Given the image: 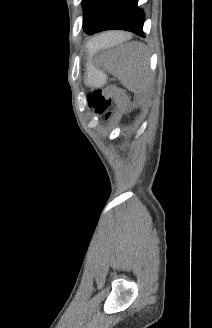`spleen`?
Instances as JSON below:
<instances>
[{"mask_svg":"<svg viewBox=\"0 0 212 328\" xmlns=\"http://www.w3.org/2000/svg\"><path fill=\"white\" fill-rule=\"evenodd\" d=\"M111 35L112 32H109L92 38L87 44L89 55L117 44ZM126 48L129 49L128 56L123 61L122 69L118 71V78L127 89L140 93L149 86L148 62L143 57V48L139 43H130Z\"/></svg>","mask_w":212,"mask_h":328,"instance_id":"1","label":"spleen"}]
</instances>
